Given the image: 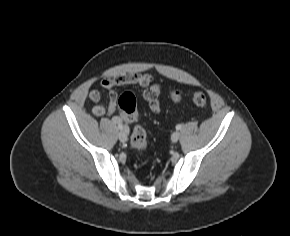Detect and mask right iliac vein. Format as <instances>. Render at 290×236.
Listing matches in <instances>:
<instances>
[{
	"mask_svg": "<svg viewBox=\"0 0 290 236\" xmlns=\"http://www.w3.org/2000/svg\"><path fill=\"white\" fill-rule=\"evenodd\" d=\"M118 138L121 142H126L128 139V128L124 127L119 133Z\"/></svg>",
	"mask_w": 290,
	"mask_h": 236,
	"instance_id": "1",
	"label": "right iliac vein"
}]
</instances>
